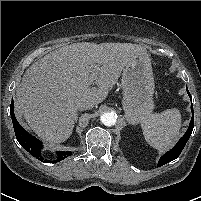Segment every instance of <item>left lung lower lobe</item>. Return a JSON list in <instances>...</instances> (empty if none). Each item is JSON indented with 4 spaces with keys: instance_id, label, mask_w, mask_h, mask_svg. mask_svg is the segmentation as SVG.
Returning <instances> with one entry per match:
<instances>
[{
    "instance_id": "left-lung-lower-lobe-1",
    "label": "left lung lower lobe",
    "mask_w": 201,
    "mask_h": 201,
    "mask_svg": "<svg viewBox=\"0 0 201 201\" xmlns=\"http://www.w3.org/2000/svg\"><path fill=\"white\" fill-rule=\"evenodd\" d=\"M187 93L189 95V97L191 98V111H192V118L189 124V128L187 129L186 133L183 135V137L178 141V143L167 153H165L159 160L158 162V166L161 167L169 162H171L172 160L178 158V156L180 155V153L182 152L183 148L185 147L191 133L194 127V111H193V104H192V97L188 91V89L186 88Z\"/></svg>"
}]
</instances>
